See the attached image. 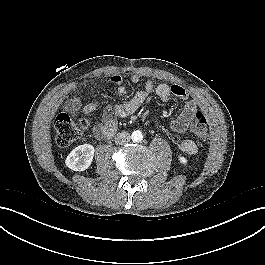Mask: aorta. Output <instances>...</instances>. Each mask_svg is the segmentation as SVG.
<instances>
[{"instance_id": "aorta-1", "label": "aorta", "mask_w": 265, "mask_h": 265, "mask_svg": "<svg viewBox=\"0 0 265 265\" xmlns=\"http://www.w3.org/2000/svg\"><path fill=\"white\" fill-rule=\"evenodd\" d=\"M131 139L134 141V142H140L142 141L143 139V134L141 131L137 130V131H134L131 135Z\"/></svg>"}]
</instances>
